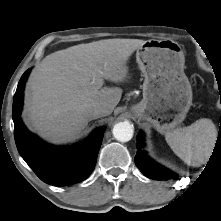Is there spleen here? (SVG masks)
I'll return each instance as SVG.
<instances>
[{"mask_svg": "<svg viewBox=\"0 0 221 221\" xmlns=\"http://www.w3.org/2000/svg\"><path fill=\"white\" fill-rule=\"evenodd\" d=\"M217 128L207 118L195 121L183 128L165 133V139L172 151L189 166L205 164L215 145Z\"/></svg>", "mask_w": 221, "mask_h": 221, "instance_id": "spleen-1", "label": "spleen"}]
</instances>
